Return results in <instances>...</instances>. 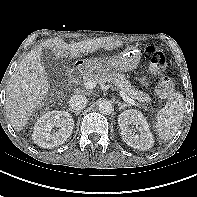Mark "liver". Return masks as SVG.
Instances as JSON below:
<instances>
[{"mask_svg": "<svg viewBox=\"0 0 197 197\" xmlns=\"http://www.w3.org/2000/svg\"><path fill=\"white\" fill-rule=\"evenodd\" d=\"M122 45L120 40L100 37L72 44H67L60 38H53L36 46L21 60L6 90V114L13 128L19 131L27 124L31 114L49 91L47 73L41 62L44 49H50L56 57L72 59L93 53L99 48L112 50Z\"/></svg>", "mask_w": 197, "mask_h": 197, "instance_id": "obj_1", "label": "liver"}]
</instances>
